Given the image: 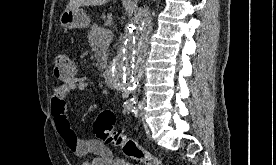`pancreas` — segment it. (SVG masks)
I'll list each match as a JSON object with an SVG mask.
<instances>
[{
	"label": "pancreas",
	"mask_w": 276,
	"mask_h": 165,
	"mask_svg": "<svg viewBox=\"0 0 276 165\" xmlns=\"http://www.w3.org/2000/svg\"><path fill=\"white\" fill-rule=\"evenodd\" d=\"M102 30L103 27L93 24L88 34V42L94 52L99 71H103L107 66L108 47L111 40V37H101Z\"/></svg>",
	"instance_id": "obj_1"
}]
</instances>
